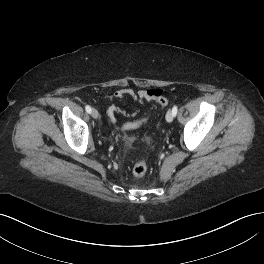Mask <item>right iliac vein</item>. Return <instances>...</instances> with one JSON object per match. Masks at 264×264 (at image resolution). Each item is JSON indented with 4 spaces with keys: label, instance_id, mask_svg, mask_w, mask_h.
Segmentation results:
<instances>
[{
    "label": "right iliac vein",
    "instance_id": "obj_1",
    "mask_svg": "<svg viewBox=\"0 0 264 264\" xmlns=\"http://www.w3.org/2000/svg\"><path fill=\"white\" fill-rule=\"evenodd\" d=\"M91 115L94 119H98V117H99V113L96 109H92Z\"/></svg>",
    "mask_w": 264,
    "mask_h": 264
}]
</instances>
